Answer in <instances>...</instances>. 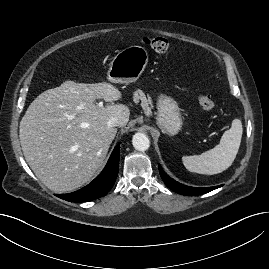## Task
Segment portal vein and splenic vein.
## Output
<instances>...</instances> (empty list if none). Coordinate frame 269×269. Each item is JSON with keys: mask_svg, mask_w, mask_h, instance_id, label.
I'll return each mask as SVG.
<instances>
[{"mask_svg": "<svg viewBox=\"0 0 269 269\" xmlns=\"http://www.w3.org/2000/svg\"><path fill=\"white\" fill-rule=\"evenodd\" d=\"M98 106L100 107L103 106V102L98 103Z\"/></svg>", "mask_w": 269, "mask_h": 269, "instance_id": "1", "label": "portal vein and splenic vein"}]
</instances>
